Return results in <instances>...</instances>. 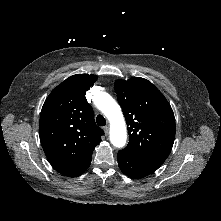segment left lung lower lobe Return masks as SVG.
<instances>
[{
	"instance_id": "0a47b994",
	"label": "left lung lower lobe",
	"mask_w": 221,
	"mask_h": 221,
	"mask_svg": "<svg viewBox=\"0 0 221 221\" xmlns=\"http://www.w3.org/2000/svg\"><path fill=\"white\" fill-rule=\"evenodd\" d=\"M117 158L121 171L135 179L150 175L159 168L124 149L118 152Z\"/></svg>"
}]
</instances>
